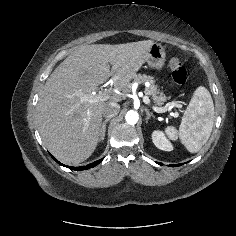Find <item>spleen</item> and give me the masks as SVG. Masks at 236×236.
Returning a JSON list of instances; mask_svg holds the SVG:
<instances>
[{"label":"spleen","instance_id":"1","mask_svg":"<svg viewBox=\"0 0 236 236\" xmlns=\"http://www.w3.org/2000/svg\"><path fill=\"white\" fill-rule=\"evenodd\" d=\"M214 104L205 87H198L184 113L179 130L173 126L165 129L171 140H181L191 153L198 152L209 139L214 123Z\"/></svg>","mask_w":236,"mask_h":236}]
</instances>
